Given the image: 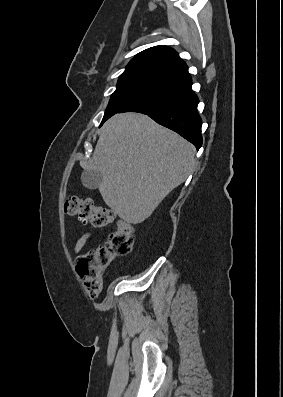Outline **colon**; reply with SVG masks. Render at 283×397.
Here are the masks:
<instances>
[{"label":"colon","instance_id":"colon-1","mask_svg":"<svg viewBox=\"0 0 283 397\" xmlns=\"http://www.w3.org/2000/svg\"><path fill=\"white\" fill-rule=\"evenodd\" d=\"M64 212L95 227L113 223L116 225L115 231L107 237L103 245L85 252L78 259L77 271L84 281L86 291L91 296H97L103 287V270L116 257L126 255L132 250L133 225L117 218L111 209L97 206L91 199H81L75 195L68 196L65 200Z\"/></svg>","mask_w":283,"mask_h":397}]
</instances>
